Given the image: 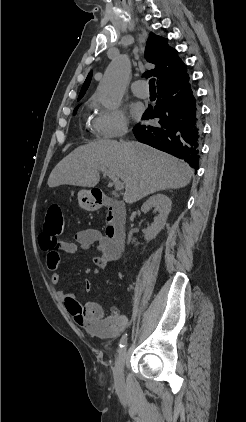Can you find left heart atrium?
I'll use <instances>...</instances> for the list:
<instances>
[{"mask_svg":"<svg viewBox=\"0 0 246 422\" xmlns=\"http://www.w3.org/2000/svg\"><path fill=\"white\" fill-rule=\"evenodd\" d=\"M132 113L135 117L139 116L141 113V107L139 105H133L132 107Z\"/></svg>","mask_w":246,"mask_h":422,"instance_id":"39dd6f15","label":"left heart atrium"}]
</instances>
